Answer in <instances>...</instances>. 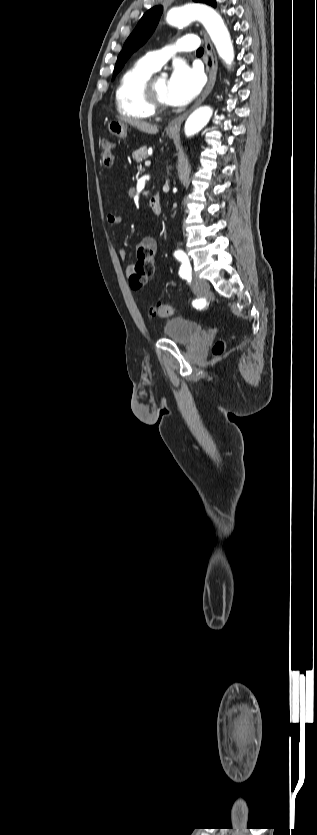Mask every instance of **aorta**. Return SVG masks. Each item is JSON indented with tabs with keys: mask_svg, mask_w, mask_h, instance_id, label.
<instances>
[{
	"mask_svg": "<svg viewBox=\"0 0 317 835\" xmlns=\"http://www.w3.org/2000/svg\"><path fill=\"white\" fill-rule=\"evenodd\" d=\"M165 20L174 26L188 25L193 20L200 21L214 43L218 55L228 66L233 63L234 48L229 31L214 9L200 4H186L167 10ZM212 115L211 107L203 106L196 109L185 122V135L190 137L198 133L208 124Z\"/></svg>",
	"mask_w": 317,
	"mask_h": 835,
	"instance_id": "762f6f07",
	"label": "aorta"
}]
</instances>
